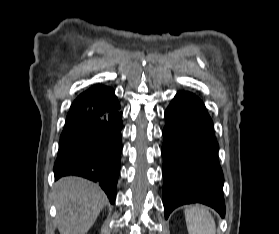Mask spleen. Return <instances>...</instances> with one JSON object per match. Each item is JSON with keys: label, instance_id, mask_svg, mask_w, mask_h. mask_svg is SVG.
Listing matches in <instances>:
<instances>
[{"label": "spleen", "instance_id": "1", "mask_svg": "<svg viewBox=\"0 0 279 234\" xmlns=\"http://www.w3.org/2000/svg\"><path fill=\"white\" fill-rule=\"evenodd\" d=\"M185 220L189 234H215L214 218L202 205L188 207L185 210Z\"/></svg>", "mask_w": 279, "mask_h": 234}]
</instances>
